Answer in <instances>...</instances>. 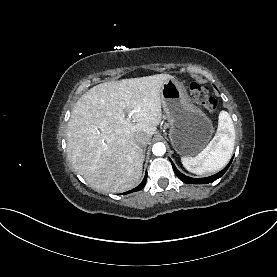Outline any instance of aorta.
I'll use <instances>...</instances> for the list:
<instances>
[{
	"instance_id": "762f6f07",
	"label": "aorta",
	"mask_w": 277,
	"mask_h": 277,
	"mask_svg": "<svg viewBox=\"0 0 277 277\" xmlns=\"http://www.w3.org/2000/svg\"><path fill=\"white\" fill-rule=\"evenodd\" d=\"M152 152L154 155L156 156H162L165 154L166 152V147L163 143L159 142V143H155L153 145V148H152Z\"/></svg>"
}]
</instances>
